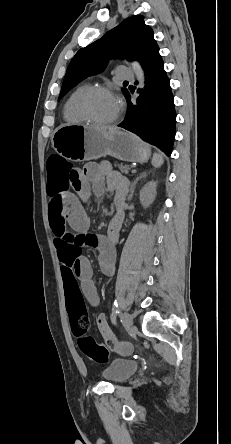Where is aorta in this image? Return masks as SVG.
Wrapping results in <instances>:
<instances>
[{"mask_svg": "<svg viewBox=\"0 0 231 444\" xmlns=\"http://www.w3.org/2000/svg\"><path fill=\"white\" fill-rule=\"evenodd\" d=\"M132 69L136 75L137 80L139 81V87H144V72L139 63L133 62Z\"/></svg>", "mask_w": 231, "mask_h": 444, "instance_id": "762f6f07", "label": "aorta"}]
</instances>
